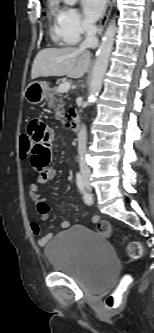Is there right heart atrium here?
<instances>
[{
	"mask_svg": "<svg viewBox=\"0 0 154 333\" xmlns=\"http://www.w3.org/2000/svg\"><path fill=\"white\" fill-rule=\"evenodd\" d=\"M61 24L64 38L69 44L79 42L82 37L94 30V26L74 7L62 8Z\"/></svg>",
	"mask_w": 154,
	"mask_h": 333,
	"instance_id": "1",
	"label": "right heart atrium"
}]
</instances>
